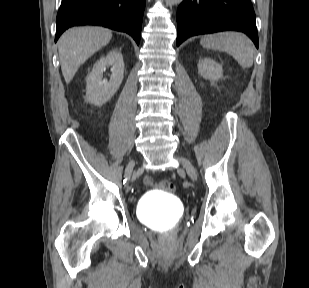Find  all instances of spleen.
<instances>
[{
  "label": "spleen",
  "mask_w": 309,
  "mask_h": 288,
  "mask_svg": "<svg viewBox=\"0 0 309 288\" xmlns=\"http://www.w3.org/2000/svg\"><path fill=\"white\" fill-rule=\"evenodd\" d=\"M200 44L208 49L229 53L243 68H250L253 65V43L242 33L220 32L205 35Z\"/></svg>",
  "instance_id": "spleen-1"
}]
</instances>
